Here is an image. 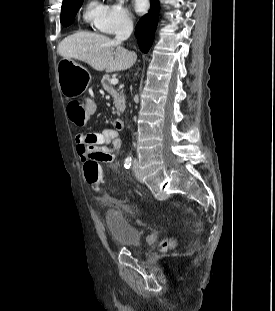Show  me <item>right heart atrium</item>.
<instances>
[{"label":"right heart atrium","instance_id":"1","mask_svg":"<svg viewBox=\"0 0 275 311\" xmlns=\"http://www.w3.org/2000/svg\"><path fill=\"white\" fill-rule=\"evenodd\" d=\"M133 16L128 7L120 2H112L105 7L96 29L104 34L113 35L131 30Z\"/></svg>","mask_w":275,"mask_h":311}]
</instances>
